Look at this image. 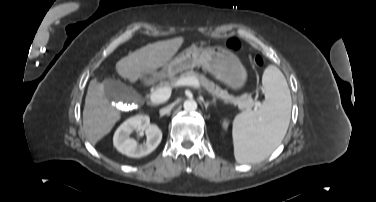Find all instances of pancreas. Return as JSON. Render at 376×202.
Here are the masks:
<instances>
[{"instance_id":"pancreas-1","label":"pancreas","mask_w":376,"mask_h":202,"mask_svg":"<svg viewBox=\"0 0 376 202\" xmlns=\"http://www.w3.org/2000/svg\"><path fill=\"white\" fill-rule=\"evenodd\" d=\"M185 77H193L197 79L200 85L204 89H206L208 93L212 94L213 97H217L223 100L225 103L237 105L241 110H251L254 106L257 105V101L253 100L251 97H247L246 95L235 97L229 94L226 90H223L219 86L215 85L214 82L208 80L204 75H199L193 70L186 71L177 78H171L170 80H160L156 88L159 89L163 87L175 86L180 79Z\"/></svg>"}]
</instances>
